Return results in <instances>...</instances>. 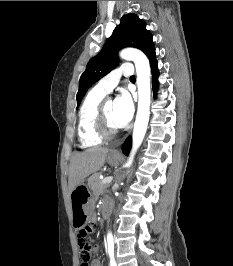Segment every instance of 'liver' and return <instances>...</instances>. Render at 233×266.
Returning <instances> with one entry per match:
<instances>
[{
    "mask_svg": "<svg viewBox=\"0 0 233 266\" xmlns=\"http://www.w3.org/2000/svg\"><path fill=\"white\" fill-rule=\"evenodd\" d=\"M108 152L109 149L107 148L96 147L73 154L68 173V187L70 193H72L87 176L101 169L105 163Z\"/></svg>",
    "mask_w": 233,
    "mask_h": 266,
    "instance_id": "liver-1",
    "label": "liver"
}]
</instances>
